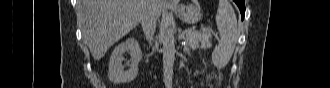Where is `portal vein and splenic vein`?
Returning <instances> with one entry per match:
<instances>
[{"label":"portal vein and splenic vein","instance_id":"portal-vein-and-splenic-vein-1","mask_svg":"<svg viewBox=\"0 0 330 88\" xmlns=\"http://www.w3.org/2000/svg\"><path fill=\"white\" fill-rule=\"evenodd\" d=\"M202 31H203V32H210L211 29H210V28H202Z\"/></svg>","mask_w":330,"mask_h":88}]
</instances>
